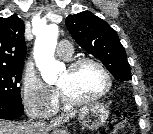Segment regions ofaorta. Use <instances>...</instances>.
<instances>
[{
  "label": "aorta",
  "instance_id": "762f6f07",
  "mask_svg": "<svg viewBox=\"0 0 153 134\" xmlns=\"http://www.w3.org/2000/svg\"><path fill=\"white\" fill-rule=\"evenodd\" d=\"M58 27L49 25L37 34L34 45V59L41 72L43 80L48 84L57 81L62 64L55 60L54 53L57 44Z\"/></svg>",
  "mask_w": 153,
  "mask_h": 134
}]
</instances>
